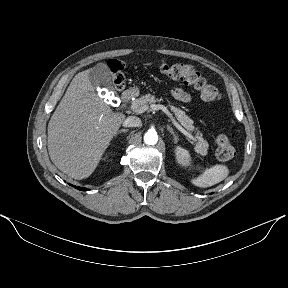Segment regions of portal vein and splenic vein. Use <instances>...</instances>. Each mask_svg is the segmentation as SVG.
<instances>
[{
	"label": "portal vein and splenic vein",
	"mask_w": 288,
	"mask_h": 288,
	"mask_svg": "<svg viewBox=\"0 0 288 288\" xmlns=\"http://www.w3.org/2000/svg\"><path fill=\"white\" fill-rule=\"evenodd\" d=\"M151 109L152 110H162L169 118L170 120L172 121V123L175 125V127L181 131L184 135H186L189 139L191 140H194L196 141V139L189 133L187 132L180 124L177 123V121L174 119V117L172 116V114L169 112V110L164 106V105H161V104H152L151 106ZM131 110L136 112V113H143L145 112L148 107H139L138 105L136 104H132L130 106Z\"/></svg>",
	"instance_id": "1"
}]
</instances>
